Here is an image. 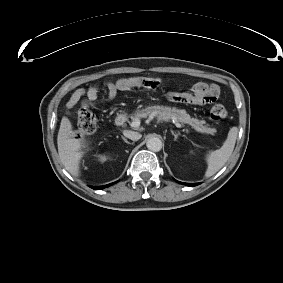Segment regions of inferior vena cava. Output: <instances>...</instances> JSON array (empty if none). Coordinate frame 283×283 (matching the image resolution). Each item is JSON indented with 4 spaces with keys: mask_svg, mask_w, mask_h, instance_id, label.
<instances>
[{
    "mask_svg": "<svg viewBox=\"0 0 283 283\" xmlns=\"http://www.w3.org/2000/svg\"><path fill=\"white\" fill-rule=\"evenodd\" d=\"M124 135L133 141H137L142 137L140 133L134 131H125Z\"/></svg>",
    "mask_w": 283,
    "mask_h": 283,
    "instance_id": "602c4592",
    "label": "inferior vena cava"
}]
</instances>
